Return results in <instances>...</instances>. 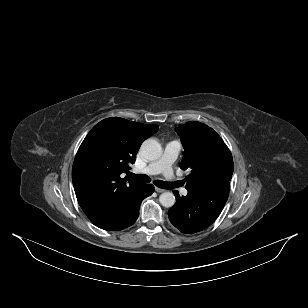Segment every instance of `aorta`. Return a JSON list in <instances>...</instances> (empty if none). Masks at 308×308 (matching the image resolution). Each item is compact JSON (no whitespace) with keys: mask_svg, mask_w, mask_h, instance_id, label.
Instances as JSON below:
<instances>
[{"mask_svg":"<svg viewBox=\"0 0 308 308\" xmlns=\"http://www.w3.org/2000/svg\"><path fill=\"white\" fill-rule=\"evenodd\" d=\"M141 152L148 160H156L162 154V146L155 139H147L141 145ZM159 201L162 206L170 208L175 204L176 198L172 192H163Z\"/></svg>","mask_w":308,"mask_h":308,"instance_id":"aorta-1","label":"aorta"}]
</instances>
